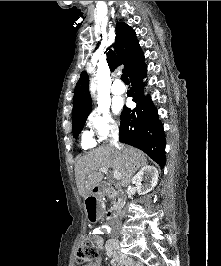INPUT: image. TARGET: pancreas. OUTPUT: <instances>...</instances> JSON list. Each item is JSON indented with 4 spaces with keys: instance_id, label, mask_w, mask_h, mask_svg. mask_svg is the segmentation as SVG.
I'll return each instance as SVG.
<instances>
[{
    "instance_id": "cf45deb5",
    "label": "pancreas",
    "mask_w": 221,
    "mask_h": 266,
    "mask_svg": "<svg viewBox=\"0 0 221 266\" xmlns=\"http://www.w3.org/2000/svg\"><path fill=\"white\" fill-rule=\"evenodd\" d=\"M114 209H120L122 206V202L120 199H116L115 197L112 198Z\"/></svg>"
}]
</instances>
